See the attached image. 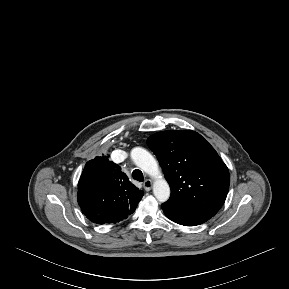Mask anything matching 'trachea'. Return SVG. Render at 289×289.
<instances>
[{"label": "trachea", "mask_w": 289, "mask_h": 289, "mask_svg": "<svg viewBox=\"0 0 289 289\" xmlns=\"http://www.w3.org/2000/svg\"><path fill=\"white\" fill-rule=\"evenodd\" d=\"M132 177H133V179H135V180H137L139 182H143V180H144L143 173L139 169H135L132 172Z\"/></svg>", "instance_id": "3493384b"}]
</instances>
